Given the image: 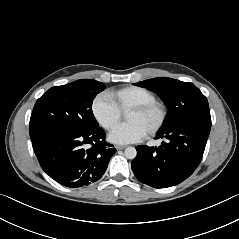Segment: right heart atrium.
Returning a JSON list of instances; mask_svg holds the SVG:
<instances>
[{
  "label": "right heart atrium",
  "instance_id": "right-heart-atrium-1",
  "mask_svg": "<svg viewBox=\"0 0 239 239\" xmlns=\"http://www.w3.org/2000/svg\"><path fill=\"white\" fill-rule=\"evenodd\" d=\"M96 122L105 130H111L120 121L122 113L107 94H99L91 104Z\"/></svg>",
  "mask_w": 239,
  "mask_h": 239
}]
</instances>
